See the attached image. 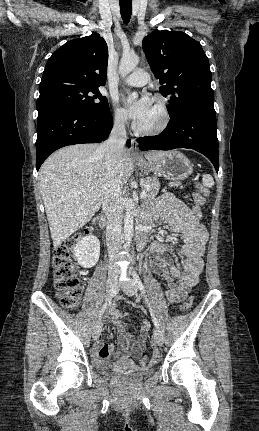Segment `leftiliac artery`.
<instances>
[{
	"label": "left iliac artery",
	"instance_id": "1",
	"mask_svg": "<svg viewBox=\"0 0 259 431\" xmlns=\"http://www.w3.org/2000/svg\"><path fill=\"white\" fill-rule=\"evenodd\" d=\"M132 274H133V278H134V280H135V282H136V284H137L138 288H139V289H140V291L142 292V294H143V296H144V298H145V301H146V303H147V305H148V307H149L150 314H151V317H152V321H153L154 325L158 328V327H159V323H158V321H157V319H156V317H155V315H154V312H153V310H152V308H151V305H150V303H149V300H148V298H147V296H146V294H145V289H144L143 283H142V281L140 280V278H139L138 274L135 272V270H133Z\"/></svg>",
	"mask_w": 259,
	"mask_h": 431
}]
</instances>
